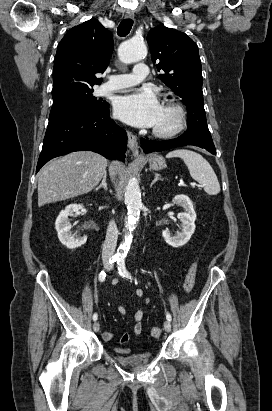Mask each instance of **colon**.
<instances>
[{
  "mask_svg": "<svg viewBox=\"0 0 272 411\" xmlns=\"http://www.w3.org/2000/svg\"><path fill=\"white\" fill-rule=\"evenodd\" d=\"M197 271H198V263H197V262H194V263L191 264V266H190V268H189V270H188V272H187L185 281H184V283H183V290H184L186 293H189V292L193 289L194 284H195V279H196ZM150 334H151V337H152V338H155V339H156V338H159V337L161 336V334H162V329H161V327H153V328L151 329Z\"/></svg>",
  "mask_w": 272,
  "mask_h": 411,
  "instance_id": "1",
  "label": "colon"
}]
</instances>
